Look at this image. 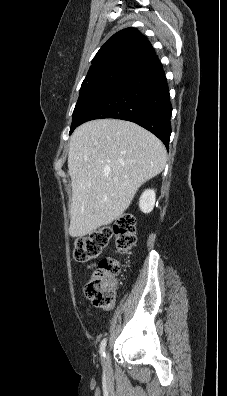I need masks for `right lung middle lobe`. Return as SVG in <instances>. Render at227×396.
I'll return each instance as SVG.
<instances>
[{"mask_svg":"<svg viewBox=\"0 0 227 396\" xmlns=\"http://www.w3.org/2000/svg\"><path fill=\"white\" fill-rule=\"evenodd\" d=\"M131 73L132 70L125 68H110L88 74L82 83L73 112L70 134L81 124L85 115Z\"/></svg>","mask_w":227,"mask_h":396,"instance_id":"dd1d6c3e","label":"right lung middle lobe"}]
</instances>
